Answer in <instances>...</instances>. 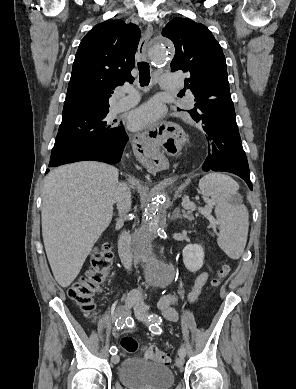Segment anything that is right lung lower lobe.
<instances>
[{
  "mask_svg": "<svg viewBox=\"0 0 296 389\" xmlns=\"http://www.w3.org/2000/svg\"><path fill=\"white\" fill-rule=\"evenodd\" d=\"M127 141L128 136L123 128L121 136L117 139L97 142L92 145L82 146L76 150L51 155L49 167L86 160L100 161L107 164L118 163Z\"/></svg>",
  "mask_w": 296,
  "mask_h": 389,
  "instance_id": "98d812e1",
  "label": "right lung lower lobe"
}]
</instances>
